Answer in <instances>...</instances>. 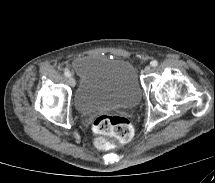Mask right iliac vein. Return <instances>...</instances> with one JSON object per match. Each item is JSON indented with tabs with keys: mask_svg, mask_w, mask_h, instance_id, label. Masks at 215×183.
I'll use <instances>...</instances> for the list:
<instances>
[{
	"mask_svg": "<svg viewBox=\"0 0 215 183\" xmlns=\"http://www.w3.org/2000/svg\"><path fill=\"white\" fill-rule=\"evenodd\" d=\"M68 82H69L70 86H72V87H74L76 84L75 79L71 76L69 77Z\"/></svg>",
	"mask_w": 215,
	"mask_h": 183,
	"instance_id": "63e3f726",
	"label": "right iliac vein"
}]
</instances>
